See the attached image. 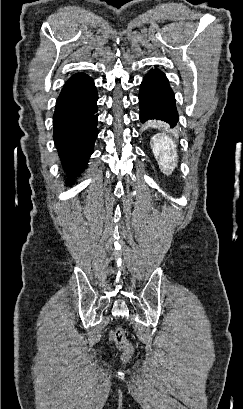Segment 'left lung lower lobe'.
<instances>
[{"mask_svg":"<svg viewBox=\"0 0 243 409\" xmlns=\"http://www.w3.org/2000/svg\"><path fill=\"white\" fill-rule=\"evenodd\" d=\"M139 104L141 123L160 120L176 126L179 118L174 93L162 71L155 69L146 74L140 86Z\"/></svg>","mask_w":243,"mask_h":409,"instance_id":"left-lung-lower-lobe-1","label":"left lung lower lobe"}]
</instances>
